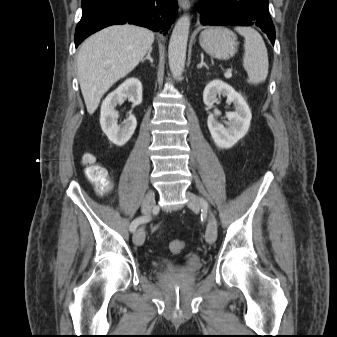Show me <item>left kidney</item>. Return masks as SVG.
<instances>
[{"label":"left kidney","instance_id":"1","mask_svg":"<svg viewBox=\"0 0 337 337\" xmlns=\"http://www.w3.org/2000/svg\"><path fill=\"white\" fill-rule=\"evenodd\" d=\"M218 95L226 96L227 101L234 104L235 111L226 114L229 120L226 127L217 121L216 117L221 115V112L217 109L208 116L207 124L215 144L222 149H228L246 135L250 127L252 114L242 95L230 85L218 79L211 81L205 87L203 92L205 105L209 108L213 107V104L218 101Z\"/></svg>","mask_w":337,"mask_h":337}]
</instances>
